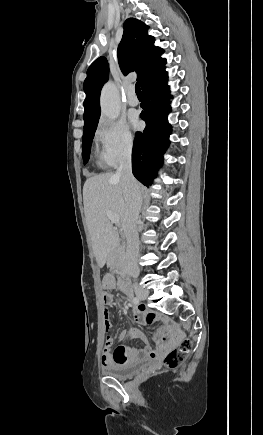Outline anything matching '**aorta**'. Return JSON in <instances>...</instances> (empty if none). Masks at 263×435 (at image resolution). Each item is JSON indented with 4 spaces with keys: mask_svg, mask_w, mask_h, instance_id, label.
Here are the masks:
<instances>
[{
    "mask_svg": "<svg viewBox=\"0 0 263 435\" xmlns=\"http://www.w3.org/2000/svg\"><path fill=\"white\" fill-rule=\"evenodd\" d=\"M101 112L108 119L115 120L120 114L118 92L112 82H108L102 89L100 97Z\"/></svg>",
    "mask_w": 263,
    "mask_h": 435,
    "instance_id": "obj_1",
    "label": "aorta"
}]
</instances>
